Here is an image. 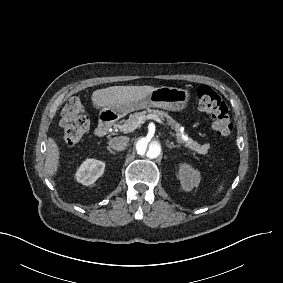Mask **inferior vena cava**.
Returning a JSON list of instances; mask_svg holds the SVG:
<instances>
[{"mask_svg": "<svg viewBox=\"0 0 283 283\" xmlns=\"http://www.w3.org/2000/svg\"><path fill=\"white\" fill-rule=\"evenodd\" d=\"M129 143V138L125 136L115 137L109 141V146L115 151H123Z\"/></svg>", "mask_w": 283, "mask_h": 283, "instance_id": "1", "label": "inferior vena cava"}]
</instances>
